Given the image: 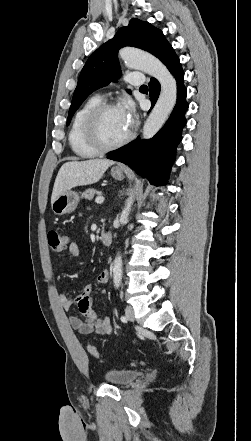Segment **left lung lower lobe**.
<instances>
[{
	"mask_svg": "<svg viewBox=\"0 0 251 441\" xmlns=\"http://www.w3.org/2000/svg\"><path fill=\"white\" fill-rule=\"evenodd\" d=\"M162 62L177 81V103L170 118L152 139L140 141L138 137L134 142L107 156L108 159L128 165L156 186L167 183L177 145L182 139V129L186 124L185 113L188 109L187 91L183 84L184 72L173 48L168 51ZM148 85L152 108L159 97L161 87L155 78H151Z\"/></svg>",
	"mask_w": 251,
	"mask_h": 441,
	"instance_id": "left-lung-lower-lobe-1",
	"label": "left lung lower lobe"
}]
</instances>
